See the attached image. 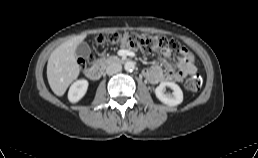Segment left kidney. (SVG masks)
<instances>
[{
  "mask_svg": "<svg viewBox=\"0 0 258 158\" xmlns=\"http://www.w3.org/2000/svg\"><path fill=\"white\" fill-rule=\"evenodd\" d=\"M167 87L173 90L172 94L165 93ZM155 95L162 103L168 106H176L183 101V92L174 82H161L155 89Z\"/></svg>",
  "mask_w": 258,
  "mask_h": 158,
  "instance_id": "5707ae66",
  "label": "left kidney"
}]
</instances>
